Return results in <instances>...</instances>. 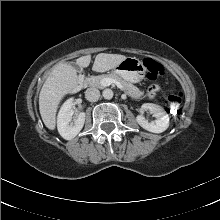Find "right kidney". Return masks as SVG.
<instances>
[{"label":"right kidney","mask_w":220,"mask_h":220,"mask_svg":"<svg viewBox=\"0 0 220 220\" xmlns=\"http://www.w3.org/2000/svg\"><path fill=\"white\" fill-rule=\"evenodd\" d=\"M73 113V99L70 98L62 105L57 118L58 132L66 140L73 139L84 126V112H81L77 115L74 125H69V123L72 121Z\"/></svg>","instance_id":"1"}]
</instances>
